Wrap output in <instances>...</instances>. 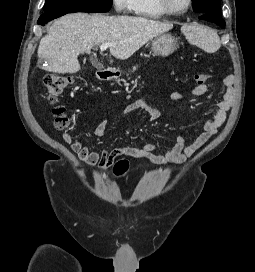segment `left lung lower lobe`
I'll return each mask as SVG.
<instances>
[{
	"mask_svg": "<svg viewBox=\"0 0 255 272\" xmlns=\"http://www.w3.org/2000/svg\"><path fill=\"white\" fill-rule=\"evenodd\" d=\"M200 19H205L210 22H214L220 25H225V22L221 18V15L215 14V13H207L204 16H201Z\"/></svg>",
	"mask_w": 255,
	"mask_h": 272,
	"instance_id": "obj_1",
	"label": "left lung lower lobe"
}]
</instances>
